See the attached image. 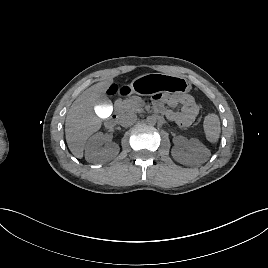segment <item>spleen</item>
<instances>
[{
	"label": "spleen",
	"mask_w": 268,
	"mask_h": 268,
	"mask_svg": "<svg viewBox=\"0 0 268 268\" xmlns=\"http://www.w3.org/2000/svg\"><path fill=\"white\" fill-rule=\"evenodd\" d=\"M203 127L206 139L211 143L217 142L221 132L219 117L214 113L208 114L204 118Z\"/></svg>",
	"instance_id": "3e777b00"
}]
</instances>
